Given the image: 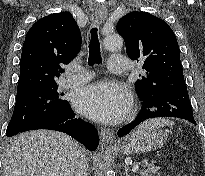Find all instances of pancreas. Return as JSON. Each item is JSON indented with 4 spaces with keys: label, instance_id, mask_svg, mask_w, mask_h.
Here are the masks:
<instances>
[{
    "label": "pancreas",
    "instance_id": "cf45deb5",
    "mask_svg": "<svg viewBox=\"0 0 205 176\" xmlns=\"http://www.w3.org/2000/svg\"><path fill=\"white\" fill-rule=\"evenodd\" d=\"M158 170L159 168L155 166V161H151L140 171V176H153Z\"/></svg>",
    "mask_w": 205,
    "mask_h": 176
}]
</instances>
